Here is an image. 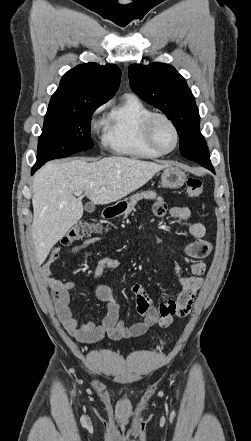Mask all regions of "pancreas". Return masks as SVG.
<instances>
[{
  "label": "pancreas",
  "mask_w": 251,
  "mask_h": 441,
  "mask_svg": "<svg viewBox=\"0 0 251 441\" xmlns=\"http://www.w3.org/2000/svg\"><path fill=\"white\" fill-rule=\"evenodd\" d=\"M157 198V193L154 191H143L140 193H136L130 197V201L128 203V209L124 213V217H127L128 214L134 209L137 202L141 199L153 200ZM160 199V197H158Z\"/></svg>",
  "instance_id": "obj_1"
}]
</instances>
